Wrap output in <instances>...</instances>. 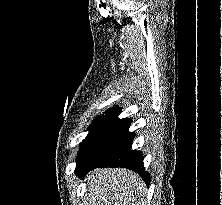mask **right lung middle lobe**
<instances>
[{
    "instance_id": "dd1d6c3e",
    "label": "right lung middle lobe",
    "mask_w": 222,
    "mask_h": 205,
    "mask_svg": "<svg viewBox=\"0 0 222 205\" xmlns=\"http://www.w3.org/2000/svg\"><path fill=\"white\" fill-rule=\"evenodd\" d=\"M107 114V113H106ZM105 115H100L98 116L93 123L89 126V134L87 135V137L83 140V142L81 143V147H80V151L82 149V147L84 146V143L86 142V140L88 139V137L90 136V134L92 133V131L95 129V127L105 118ZM79 154V153H78Z\"/></svg>"
}]
</instances>
